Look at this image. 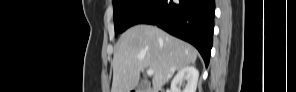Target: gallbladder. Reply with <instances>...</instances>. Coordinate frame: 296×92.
Segmentation results:
<instances>
[{
	"instance_id": "1",
	"label": "gallbladder",
	"mask_w": 296,
	"mask_h": 92,
	"mask_svg": "<svg viewBox=\"0 0 296 92\" xmlns=\"http://www.w3.org/2000/svg\"><path fill=\"white\" fill-rule=\"evenodd\" d=\"M147 87H148L147 84L141 83V84L138 85L137 90H138V92H145Z\"/></svg>"
}]
</instances>
